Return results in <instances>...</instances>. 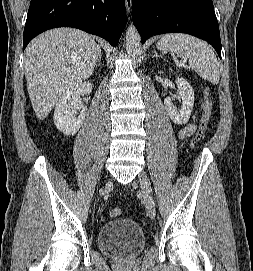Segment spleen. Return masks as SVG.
Masks as SVG:
<instances>
[{
	"instance_id": "1",
	"label": "spleen",
	"mask_w": 253,
	"mask_h": 271,
	"mask_svg": "<svg viewBox=\"0 0 253 271\" xmlns=\"http://www.w3.org/2000/svg\"><path fill=\"white\" fill-rule=\"evenodd\" d=\"M157 48L180 57L202 79L217 84L220 65L213 50L203 41L182 33H168L157 42Z\"/></svg>"
}]
</instances>
